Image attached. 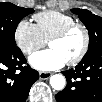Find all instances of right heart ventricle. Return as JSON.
Segmentation results:
<instances>
[{"label":"right heart ventricle","mask_w":102,"mask_h":102,"mask_svg":"<svg viewBox=\"0 0 102 102\" xmlns=\"http://www.w3.org/2000/svg\"><path fill=\"white\" fill-rule=\"evenodd\" d=\"M33 18L41 37L45 41H49L56 33L76 22L73 16L55 10L37 13Z\"/></svg>","instance_id":"right-heart-ventricle-1"}]
</instances>
